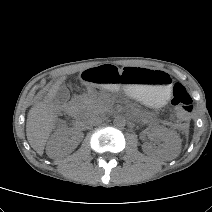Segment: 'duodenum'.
I'll return each mask as SVG.
<instances>
[{
  "mask_svg": "<svg viewBox=\"0 0 212 212\" xmlns=\"http://www.w3.org/2000/svg\"><path fill=\"white\" fill-rule=\"evenodd\" d=\"M64 112L69 116H73L75 114V108L72 104H66L64 107Z\"/></svg>",
  "mask_w": 212,
  "mask_h": 212,
  "instance_id": "410a0bca",
  "label": "duodenum"
}]
</instances>
